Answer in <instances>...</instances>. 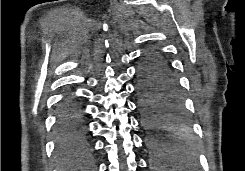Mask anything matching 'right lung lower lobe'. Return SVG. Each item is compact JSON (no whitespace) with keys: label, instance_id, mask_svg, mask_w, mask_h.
Instances as JSON below:
<instances>
[{"label":"right lung lower lobe","instance_id":"1","mask_svg":"<svg viewBox=\"0 0 245 171\" xmlns=\"http://www.w3.org/2000/svg\"><path fill=\"white\" fill-rule=\"evenodd\" d=\"M55 134L57 151L61 156L72 155L87 145L88 132L83 107L70 93L59 104Z\"/></svg>","mask_w":245,"mask_h":171}]
</instances>
